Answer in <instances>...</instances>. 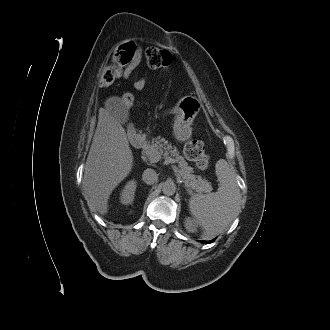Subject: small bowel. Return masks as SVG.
Wrapping results in <instances>:
<instances>
[{
  "label": "small bowel",
  "instance_id": "1",
  "mask_svg": "<svg viewBox=\"0 0 330 330\" xmlns=\"http://www.w3.org/2000/svg\"><path fill=\"white\" fill-rule=\"evenodd\" d=\"M142 60V54L139 48L135 47V55L130 62V64L123 69H121L118 73L119 78L128 79L131 77L135 69L139 66ZM147 83V77L145 75L139 77L133 84V87L136 91H142Z\"/></svg>",
  "mask_w": 330,
  "mask_h": 330
}]
</instances>
